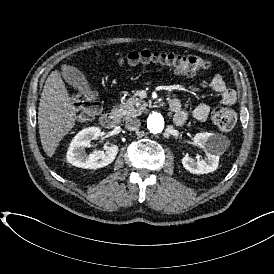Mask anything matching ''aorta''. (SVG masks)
Returning a JSON list of instances; mask_svg holds the SVG:
<instances>
[{
  "mask_svg": "<svg viewBox=\"0 0 274 274\" xmlns=\"http://www.w3.org/2000/svg\"><path fill=\"white\" fill-rule=\"evenodd\" d=\"M165 121L163 116L158 112H152L147 119V128L152 134H159L163 131Z\"/></svg>",
  "mask_w": 274,
  "mask_h": 274,
  "instance_id": "obj_1",
  "label": "aorta"
}]
</instances>
